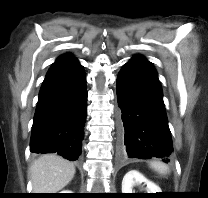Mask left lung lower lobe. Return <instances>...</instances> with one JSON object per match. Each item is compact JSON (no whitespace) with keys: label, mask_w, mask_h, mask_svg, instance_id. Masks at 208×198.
<instances>
[{"label":"left lung lower lobe","mask_w":208,"mask_h":198,"mask_svg":"<svg viewBox=\"0 0 208 198\" xmlns=\"http://www.w3.org/2000/svg\"><path fill=\"white\" fill-rule=\"evenodd\" d=\"M117 98L121 156L168 162L173 148L161 84L152 64L141 55L119 72Z\"/></svg>","instance_id":"1"}]
</instances>
